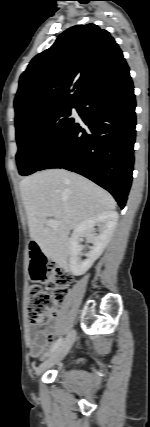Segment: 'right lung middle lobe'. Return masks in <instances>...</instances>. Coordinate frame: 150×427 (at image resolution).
Here are the masks:
<instances>
[{
  "label": "right lung middle lobe",
  "instance_id": "right-lung-middle-lobe-1",
  "mask_svg": "<svg viewBox=\"0 0 150 427\" xmlns=\"http://www.w3.org/2000/svg\"><path fill=\"white\" fill-rule=\"evenodd\" d=\"M76 105H55L28 113L15 121L20 175L34 173L44 161L72 121L71 108Z\"/></svg>",
  "mask_w": 150,
  "mask_h": 427
}]
</instances>
